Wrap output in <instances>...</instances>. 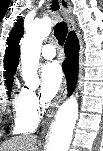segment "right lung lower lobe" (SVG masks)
Instances as JSON below:
<instances>
[{"label":"right lung lower lobe","instance_id":"98d812e1","mask_svg":"<svg viewBox=\"0 0 103 151\" xmlns=\"http://www.w3.org/2000/svg\"><path fill=\"white\" fill-rule=\"evenodd\" d=\"M64 49L67 59L63 63V71L67 77L68 91L71 93L76 84L78 74L79 44L77 38L68 39Z\"/></svg>","mask_w":103,"mask_h":151}]
</instances>
